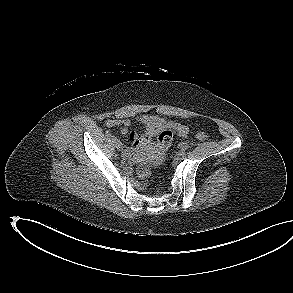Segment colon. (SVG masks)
Returning a JSON list of instances; mask_svg holds the SVG:
<instances>
[{
  "label": "colon",
  "mask_w": 293,
  "mask_h": 293,
  "mask_svg": "<svg viewBox=\"0 0 293 293\" xmlns=\"http://www.w3.org/2000/svg\"><path fill=\"white\" fill-rule=\"evenodd\" d=\"M195 138L199 141H204L207 138V134L205 132H197L195 133ZM173 139V133L171 130H163L158 134V147L161 151H165L166 149L169 148V146L172 143ZM138 175L139 177L146 181L150 178L151 176V170L149 166L146 164H142L138 168Z\"/></svg>",
  "instance_id": "5ec220e1"
}]
</instances>
